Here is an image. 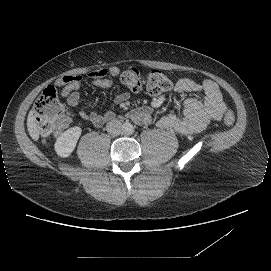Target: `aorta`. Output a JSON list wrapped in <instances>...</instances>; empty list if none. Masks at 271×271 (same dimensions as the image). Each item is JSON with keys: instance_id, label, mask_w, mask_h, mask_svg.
Instances as JSON below:
<instances>
[{"instance_id": "1", "label": "aorta", "mask_w": 271, "mask_h": 271, "mask_svg": "<svg viewBox=\"0 0 271 271\" xmlns=\"http://www.w3.org/2000/svg\"><path fill=\"white\" fill-rule=\"evenodd\" d=\"M134 132L133 126H130L129 129L126 131L128 134H132Z\"/></svg>"}]
</instances>
